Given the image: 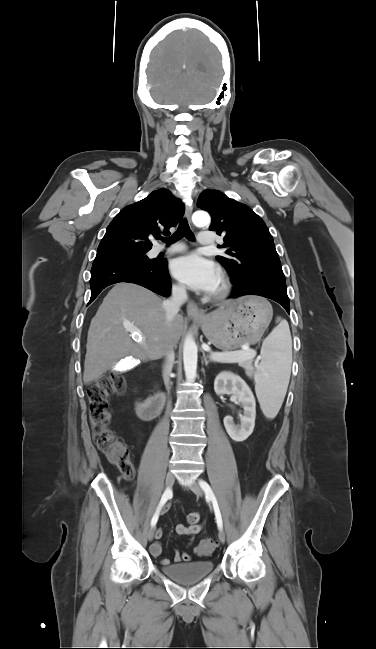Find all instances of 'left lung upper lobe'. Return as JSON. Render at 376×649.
Returning a JSON list of instances; mask_svg holds the SVG:
<instances>
[{"instance_id":"left-lung-upper-lobe-1","label":"left lung upper lobe","mask_w":376,"mask_h":649,"mask_svg":"<svg viewBox=\"0 0 376 649\" xmlns=\"http://www.w3.org/2000/svg\"><path fill=\"white\" fill-rule=\"evenodd\" d=\"M198 207L212 217L210 230L224 236L225 256L217 260L231 273L237 285L250 276H263L286 286L273 237L264 221L248 206L218 190H205Z\"/></svg>"}]
</instances>
